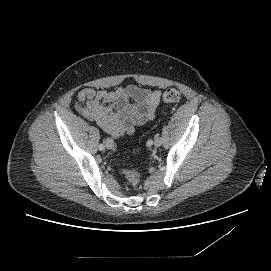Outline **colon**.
<instances>
[{
  "mask_svg": "<svg viewBox=\"0 0 271 271\" xmlns=\"http://www.w3.org/2000/svg\"><path fill=\"white\" fill-rule=\"evenodd\" d=\"M181 94L176 89H168L163 94V101L165 103H176L180 100ZM122 176L129 182L132 187H137L141 181V176L138 172L133 170H122Z\"/></svg>",
  "mask_w": 271,
  "mask_h": 271,
  "instance_id": "1",
  "label": "colon"
}]
</instances>
